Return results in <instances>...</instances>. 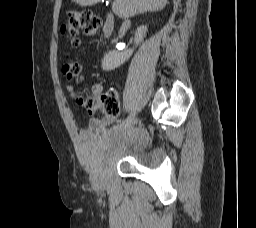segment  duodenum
Segmentation results:
<instances>
[{
    "label": "duodenum",
    "instance_id": "obj_1",
    "mask_svg": "<svg viewBox=\"0 0 256 228\" xmlns=\"http://www.w3.org/2000/svg\"><path fill=\"white\" fill-rule=\"evenodd\" d=\"M113 18L111 16H108L105 20L104 26H103V35L105 37H109L113 31Z\"/></svg>",
    "mask_w": 256,
    "mask_h": 228
}]
</instances>
